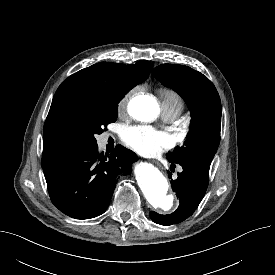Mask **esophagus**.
Returning <instances> with one entry per match:
<instances>
[{"label":"esophagus","mask_w":275,"mask_h":275,"mask_svg":"<svg viewBox=\"0 0 275 275\" xmlns=\"http://www.w3.org/2000/svg\"><path fill=\"white\" fill-rule=\"evenodd\" d=\"M153 163H155V164L159 165V163H158L157 161H153Z\"/></svg>","instance_id":"34e87169"}]
</instances>
